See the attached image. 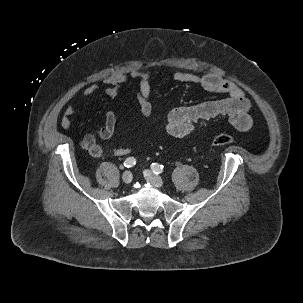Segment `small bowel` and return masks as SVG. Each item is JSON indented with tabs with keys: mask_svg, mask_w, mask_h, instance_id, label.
<instances>
[{
	"mask_svg": "<svg viewBox=\"0 0 303 303\" xmlns=\"http://www.w3.org/2000/svg\"><path fill=\"white\" fill-rule=\"evenodd\" d=\"M130 79L138 80L136 97L140 105V114L147 118L152 113L151 83L154 79L153 72L132 69L127 73L114 72L103 79L108 85L106 95L113 99L117 95L120 85L127 83ZM173 79L181 83H191L202 86L205 90L214 93L226 94L227 97L221 100L206 101L198 104L180 106L169 112L166 120L167 132L176 138H182L194 131L197 124L209 119L224 116L230 124L238 131H248L252 126V119L249 115L250 102L244 91L231 81L225 80L216 74L196 75L189 72L178 71ZM96 87L92 86L84 90V98L92 96ZM75 109L68 105L60 120L63 128L72 126L70 117L74 115ZM116 127V116L113 110H108L105 115L104 125L94 132L85 134L80 140V146L93 157L102 156L107 150L100 144V140H107L114 134ZM117 156H125L131 152V148H117L109 150Z\"/></svg>",
	"mask_w": 303,
	"mask_h": 303,
	"instance_id": "obj_1",
	"label": "small bowel"
}]
</instances>
